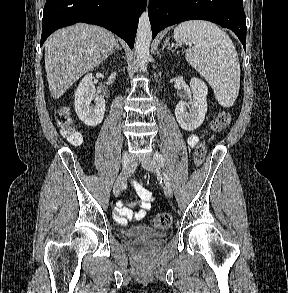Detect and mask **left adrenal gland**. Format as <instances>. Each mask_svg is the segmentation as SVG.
Returning <instances> with one entry per match:
<instances>
[{
    "label": "left adrenal gland",
    "instance_id": "1",
    "mask_svg": "<svg viewBox=\"0 0 288 293\" xmlns=\"http://www.w3.org/2000/svg\"><path fill=\"white\" fill-rule=\"evenodd\" d=\"M166 47L168 50H171L172 52L175 51V49H173V46L169 42V38L164 41L163 46H162V50H164Z\"/></svg>",
    "mask_w": 288,
    "mask_h": 293
}]
</instances>
